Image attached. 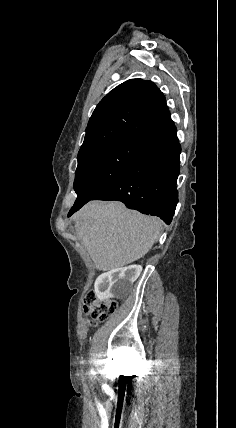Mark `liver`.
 <instances>
[{
	"mask_svg": "<svg viewBox=\"0 0 236 428\" xmlns=\"http://www.w3.org/2000/svg\"><path fill=\"white\" fill-rule=\"evenodd\" d=\"M75 230L97 270L127 266L157 242L162 220L127 210L121 202H88L74 216Z\"/></svg>",
	"mask_w": 236,
	"mask_h": 428,
	"instance_id": "6515ba94",
	"label": "liver"
}]
</instances>
